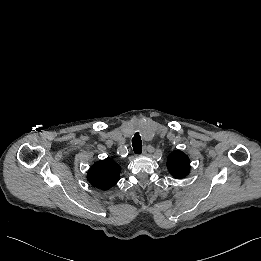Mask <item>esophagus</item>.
I'll return each instance as SVG.
<instances>
[{
    "mask_svg": "<svg viewBox=\"0 0 261 261\" xmlns=\"http://www.w3.org/2000/svg\"><path fill=\"white\" fill-rule=\"evenodd\" d=\"M142 155H143V156H146V155H147V151H146L145 149L143 150Z\"/></svg>",
    "mask_w": 261,
    "mask_h": 261,
    "instance_id": "1",
    "label": "esophagus"
}]
</instances>
